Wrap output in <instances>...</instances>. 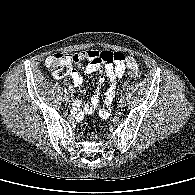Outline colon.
Listing matches in <instances>:
<instances>
[{
	"label": "colon",
	"mask_w": 195,
	"mask_h": 195,
	"mask_svg": "<svg viewBox=\"0 0 195 195\" xmlns=\"http://www.w3.org/2000/svg\"><path fill=\"white\" fill-rule=\"evenodd\" d=\"M46 65L52 71L54 76L62 78L69 74L72 60L68 54L54 53L46 59ZM129 74L135 79L141 77L137 68H130Z\"/></svg>",
	"instance_id": "obj_1"
}]
</instances>
